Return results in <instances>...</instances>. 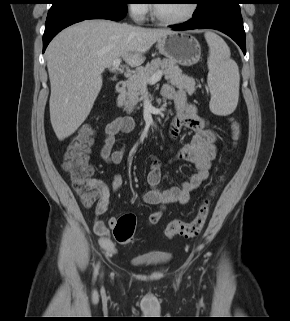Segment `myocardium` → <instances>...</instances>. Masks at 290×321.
<instances>
[{
    "label": "myocardium",
    "instance_id": "f54148a6",
    "mask_svg": "<svg viewBox=\"0 0 290 321\" xmlns=\"http://www.w3.org/2000/svg\"><path fill=\"white\" fill-rule=\"evenodd\" d=\"M155 3H152L150 5V14L152 19L160 24V25H164V26H175V25H180L183 23L188 22L190 19H192L194 17V15L196 14L197 11V3L194 0L190 1V7H189V11L182 17L180 18H176V19H166V18H162L160 17L157 12H156V6L154 5Z\"/></svg>",
    "mask_w": 290,
    "mask_h": 321
}]
</instances>
